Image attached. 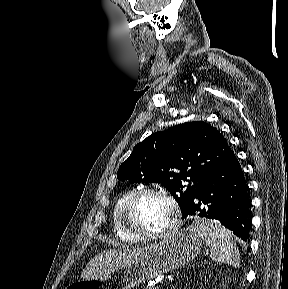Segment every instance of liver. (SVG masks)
<instances>
[{
    "label": "liver",
    "mask_w": 288,
    "mask_h": 289,
    "mask_svg": "<svg viewBox=\"0 0 288 289\" xmlns=\"http://www.w3.org/2000/svg\"><path fill=\"white\" fill-rule=\"evenodd\" d=\"M146 248L135 249H109L94 257L82 271L84 279L96 278L105 272L125 266L142 256Z\"/></svg>",
    "instance_id": "liver-1"
}]
</instances>
